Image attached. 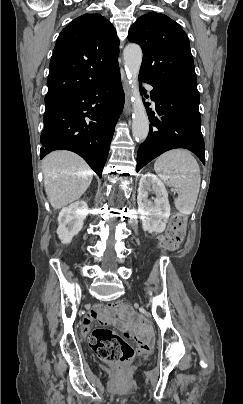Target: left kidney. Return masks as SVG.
<instances>
[{"label":"left kidney","instance_id":"obj_1","mask_svg":"<svg viewBox=\"0 0 243 404\" xmlns=\"http://www.w3.org/2000/svg\"><path fill=\"white\" fill-rule=\"evenodd\" d=\"M148 192H154L156 198L148 200ZM137 204L144 232L162 234L168 224L171 208L163 182L150 172L141 176Z\"/></svg>","mask_w":243,"mask_h":404}]
</instances>
